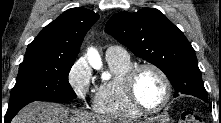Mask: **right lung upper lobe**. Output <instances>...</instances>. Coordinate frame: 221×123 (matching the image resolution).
I'll list each match as a JSON object with an SVG mask.
<instances>
[{
    "label": "right lung upper lobe",
    "mask_w": 221,
    "mask_h": 123,
    "mask_svg": "<svg viewBox=\"0 0 221 123\" xmlns=\"http://www.w3.org/2000/svg\"><path fill=\"white\" fill-rule=\"evenodd\" d=\"M99 15L85 8H72L52 21L28 45L25 56L76 58L82 40Z\"/></svg>",
    "instance_id": "cb5924a9"
}]
</instances>
